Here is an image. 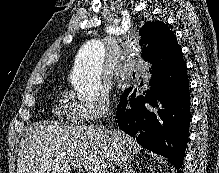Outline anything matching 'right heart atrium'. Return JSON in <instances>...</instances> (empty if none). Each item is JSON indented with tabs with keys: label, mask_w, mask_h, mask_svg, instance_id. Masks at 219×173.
Wrapping results in <instances>:
<instances>
[{
	"label": "right heart atrium",
	"mask_w": 219,
	"mask_h": 173,
	"mask_svg": "<svg viewBox=\"0 0 219 173\" xmlns=\"http://www.w3.org/2000/svg\"><path fill=\"white\" fill-rule=\"evenodd\" d=\"M73 117L81 123H89L105 117L110 111V100L106 92L101 93L94 101H76L72 104Z\"/></svg>",
	"instance_id": "d8ad5b80"
}]
</instances>
